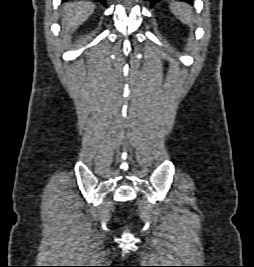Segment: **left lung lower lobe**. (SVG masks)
<instances>
[{
  "instance_id": "1",
  "label": "left lung lower lobe",
  "mask_w": 254,
  "mask_h": 267,
  "mask_svg": "<svg viewBox=\"0 0 254 267\" xmlns=\"http://www.w3.org/2000/svg\"><path fill=\"white\" fill-rule=\"evenodd\" d=\"M161 0H151V5H154L158 2H160ZM181 1H185V2H188V3H191L192 0H181Z\"/></svg>"
}]
</instances>
